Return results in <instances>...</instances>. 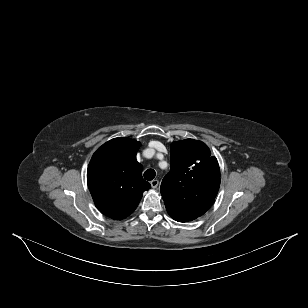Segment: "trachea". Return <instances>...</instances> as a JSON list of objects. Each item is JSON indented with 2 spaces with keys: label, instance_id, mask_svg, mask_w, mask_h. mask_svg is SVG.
<instances>
[{
  "label": "trachea",
  "instance_id": "obj_1",
  "mask_svg": "<svg viewBox=\"0 0 308 308\" xmlns=\"http://www.w3.org/2000/svg\"><path fill=\"white\" fill-rule=\"evenodd\" d=\"M156 172L153 169H148L144 172V178L148 181H151L155 178Z\"/></svg>",
  "mask_w": 308,
  "mask_h": 308
}]
</instances>
